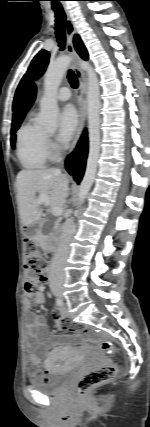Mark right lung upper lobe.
<instances>
[{
	"instance_id": "1",
	"label": "right lung upper lobe",
	"mask_w": 150,
	"mask_h": 427,
	"mask_svg": "<svg viewBox=\"0 0 150 427\" xmlns=\"http://www.w3.org/2000/svg\"><path fill=\"white\" fill-rule=\"evenodd\" d=\"M74 47L76 49V51L78 52V54L83 58V59H87L88 58V53L86 48L84 47L80 37L78 35L74 36ZM35 95H36V87L34 84L29 83L25 89V91L23 92V95L21 97L18 109L16 114L13 117V123H18V122H22L26 112L29 110V108L32 106L34 100H35Z\"/></svg>"
}]
</instances>
